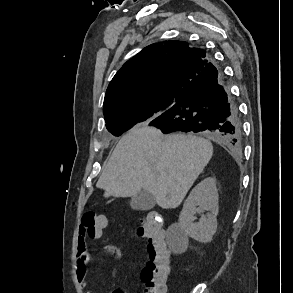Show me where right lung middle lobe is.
Returning <instances> with one entry per match:
<instances>
[{
	"instance_id": "1",
	"label": "right lung middle lobe",
	"mask_w": 293,
	"mask_h": 293,
	"mask_svg": "<svg viewBox=\"0 0 293 293\" xmlns=\"http://www.w3.org/2000/svg\"><path fill=\"white\" fill-rule=\"evenodd\" d=\"M172 102H173L172 104L173 106L175 103V99ZM165 104L166 102H163L155 109L139 110L135 112H129V113L121 114V115L111 116L105 119L106 127L108 131L112 133L113 135L120 136L122 133L132 128L135 124L146 121V120L148 121L152 120L156 116V115L153 116L154 113L157 111H162Z\"/></svg>"
}]
</instances>
